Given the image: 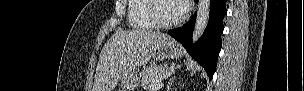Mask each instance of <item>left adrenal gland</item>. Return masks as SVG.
Here are the masks:
<instances>
[{"label": "left adrenal gland", "instance_id": "a2214340", "mask_svg": "<svg viewBox=\"0 0 304 91\" xmlns=\"http://www.w3.org/2000/svg\"><path fill=\"white\" fill-rule=\"evenodd\" d=\"M173 80H174V78L172 77V78L170 79L169 86H171V85L173 84Z\"/></svg>", "mask_w": 304, "mask_h": 91}]
</instances>
